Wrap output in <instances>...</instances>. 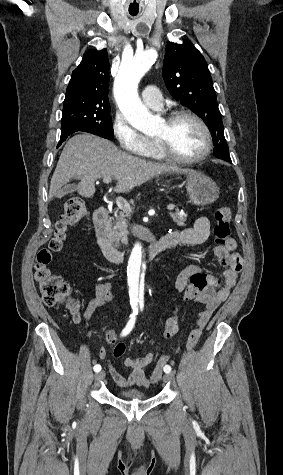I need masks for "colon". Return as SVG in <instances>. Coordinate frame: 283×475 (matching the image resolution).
Segmentation results:
<instances>
[{"label": "colon", "instance_id": "5ec220e1", "mask_svg": "<svg viewBox=\"0 0 283 475\" xmlns=\"http://www.w3.org/2000/svg\"><path fill=\"white\" fill-rule=\"evenodd\" d=\"M87 215V207L83 200L71 197L65 203L60 219L57 222L54 236L47 250H42L37 255L35 280L40 288L43 303L48 307L64 306L74 322L80 320L82 311L81 302L73 295L72 287L59 275L47 266L51 264L53 254L62 250L66 244L68 230L81 222ZM231 209L225 205L215 208V223L213 225L214 241L222 245L230 237ZM210 283L211 277L205 272H195L190 276V283L185 289L184 297L193 300L199 291H203ZM179 330V319L175 314L170 315L165 321L164 339L171 340ZM160 362L166 361L165 355L159 356Z\"/></svg>", "mask_w": 283, "mask_h": 475}]
</instances>
